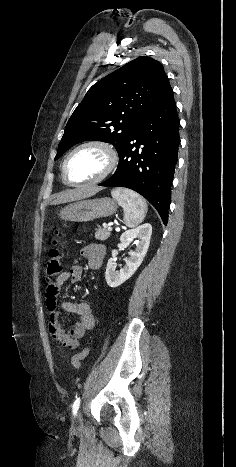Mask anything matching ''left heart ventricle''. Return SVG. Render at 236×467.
<instances>
[{"label":"left heart ventricle","instance_id":"1","mask_svg":"<svg viewBox=\"0 0 236 467\" xmlns=\"http://www.w3.org/2000/svg\"><path fill=\"white\" fill-rule=\"evenodd\" d=\"M107 158L98 148L88 147L76 152L68 163V177L73 182H87L98 177L106 168Z\"/></svg>","mask_w":236,"mask_h":467}]
</instances>
